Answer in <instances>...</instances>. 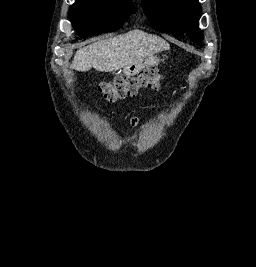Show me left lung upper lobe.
<instances>
[{
	"instance_id": "1",
	"label": "left lung upper lobe",
	"mask_w": 256,
	"mask_h": 267,
	"mask_svg": "<svg viewBox=\"0 0 256 267\" xmlns=\"http://www.w3.org/2000/svg\"><path fill=\"white\" fill-rule=\"evenodd\" d=\"M142 7L156 28L176 35L186 33L196 43L203 39L198 0H142Z\"/></svg>"
}]
</instances>
